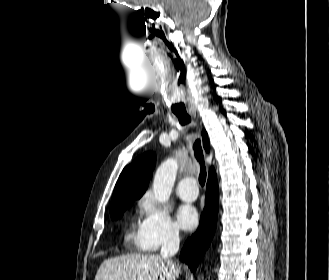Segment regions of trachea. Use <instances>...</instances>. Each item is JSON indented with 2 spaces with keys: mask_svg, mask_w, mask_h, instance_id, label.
I'll return each mask as SVG.
<instances>
[{
  "mask_svg": "<svg viewBox=\"0 0 329 280\" xmlns=\"http://www.w3.org/2000/svg\"><path fill=\"white\" fill-rule=\"evenodd\" d=\"M179 120V123L183 126L186 124H189L191 122V117L187 113H176L175 114ZM193 150L195 154V158L200 163V174H199V183L201 186L205 185L206 182V168L204 165V157H203V151L201 147L200 140H196L193 145Z\"/></svg>",
  "mask_w": 329,
  "mask_h": 280,
  "instance_id": "trachea-1",
  "label": "trachea"
}]
</instances>
